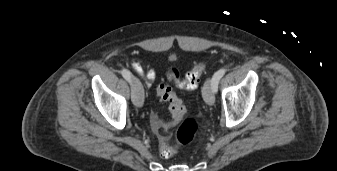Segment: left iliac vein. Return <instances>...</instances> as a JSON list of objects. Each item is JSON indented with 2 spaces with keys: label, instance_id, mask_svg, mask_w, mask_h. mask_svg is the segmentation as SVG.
Segmentation results:
<instances>
[{
  "label": "left iliac vein",
  "instance_id": "4c4485c4",
  "mask_svg": "<svg viewBox=\"0 0 337 171\" xmlns=\"http://www.w3.org/2000/svg\"><path fill=\"white\" fill-rule=\"evenodd\" d=\"M203 98L208 105L215 103L214 89L212 85V79H208L203 86Z\"/></svg>",
  "mask_w": 337,
  "mask_h": 171
}]
</instances>
